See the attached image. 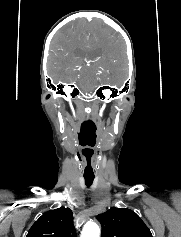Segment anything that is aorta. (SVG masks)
Returning <instances> with one entry per match:
<instances>
[{
    "mask_svg": "<svg viewBox=\"0 0 181 237\" xmlns=\"http://www.w3.org/2000/svg\"><path fill=\"white\" fill-rule=\"evenodd\" d=\"M81 237H100V227L96 223H87L82 230Z\"/></svg>",
    "mask_w": 181,
    "mask_h": 237,
    "instance_id": "obj_1",
    "label": "aorta"
}]
</instances>
